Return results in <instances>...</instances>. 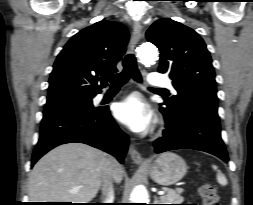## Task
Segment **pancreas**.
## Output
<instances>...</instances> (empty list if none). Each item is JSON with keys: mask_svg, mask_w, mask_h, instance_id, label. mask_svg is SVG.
<instances>
[{"mask_svg": "<svg viewBox=\"0 0 253 205\" xmlns=\"http://www.w3.org/2000/svg\"><path fill=\"white\" fill-rule=\"evenodd\" d=\"M163 191L166 192L165 195L160 197V201L163 204H180L183 202L184 198L181 197L182 189L171 190L168 188H163Z\"/></svg>", "mask_w": 253, "mask_h": 205, "instance_id": "obj_1", "label": "pancreas"}]
</instances>
